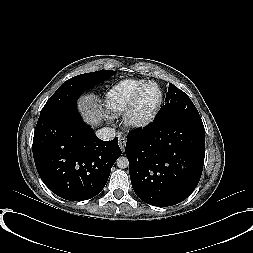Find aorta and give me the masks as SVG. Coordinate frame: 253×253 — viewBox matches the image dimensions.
<instances>
[{"label": "aorta", "mask_w": 253, "mask_h": 253, "mask_svg": "<svg viewBox=\"0 0 253 253\" xmlns=\"http://www.w3.org/2000/svg\"><path fill=\"white\" fill-rule=\"evenodd\" d=\"M116 164L117 166L120 168V169H124V168H127L129 166V160L127 157L125 156H120L117 161H116Z\"/></svg>", "instance_id": "762f6f07"}]
</instances>
